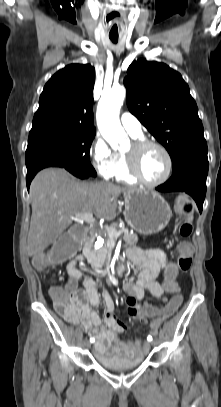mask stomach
<instances>
[{"label": "stomach", "instance_id": "0dacf381", "mask_svg": "<svg viewBox=\"0 0 221 407\" xmlns=\"http://www.w3.org/2000/svg\"><path fill=\"white\" fill-rule=\"evenodd\" d=\"M172 211L167 201L157 192L136 190L125 193L124 218L127 224L143 235L163 230Z\"/></svg>", "mask_w": 221, "mask_h": 407}]
</instances>
